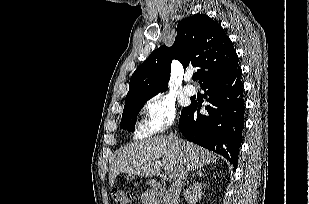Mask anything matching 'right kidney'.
<instances>
[{
    "label": "right kidney",
    "mask_w": 309,
    "mask_h": 204,
    "mask_svg": "<svg viewBox=\"0 0 309 204\" xmlns=\"http://www.w3.org/2000/svg\"><path fill=\"white\" fill-rule=\"evenodd\" d=\"M202 196V184L195 183L186 190L184 194L185 200L188 204H196L198 200H201Z\"/></svg>",
    "instance_id": "1"
}]
</instances>
